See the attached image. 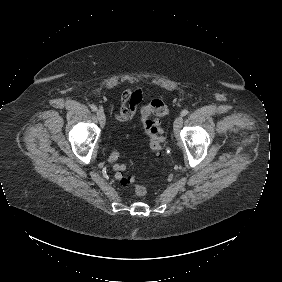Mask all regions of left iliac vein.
I'll list each match as a JSON object with an SVG mask.
<instances>
[{"label": "left iliac vein", "mask_w": 282, "mask_h": 282, "mask_svg": "<svg viewBox=\"0 0 282 282\" xmlns=\"http://www.w3.org/2000/svg\"><path fill=\"white\" fill-rule=\"evenodd\" d=\"M182 124H183V118L182 116H178L173 123V130H174L175 137L179 136V131H180Z\"/></svg>", "instance_id": "4c4485c4"}]
</instances>
